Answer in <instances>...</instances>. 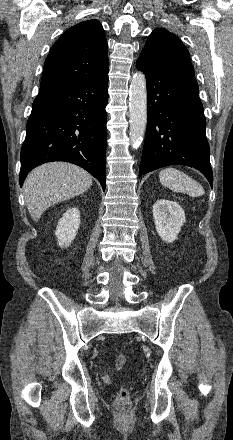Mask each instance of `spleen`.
<instances>
[{
  "instance_id": "1",
  "label": "spleen",
  "mask_w": 233,
  "mask_h": 440,
  "mask_svg": "<svg viewBox=\"0 0 233 440\" xmlns=\"http://www.w3.org/2000/svg\"><path fill=\"white\" fill-rule=\"evenodd\" d=\"M159 180L162 185L172 191L185 192L191 197H199L205 193L202 185L196 180L173 167L162 169L159 173Z\"/></svg>"
}]
</instances>
